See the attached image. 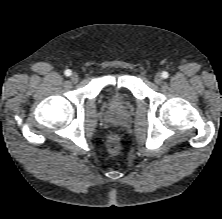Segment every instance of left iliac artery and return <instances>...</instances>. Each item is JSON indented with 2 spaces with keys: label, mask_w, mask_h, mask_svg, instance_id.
I'll return each instance as SVG.
<instances>
[{
  "label": "left iliac artery",
  "mask_w": 222,
  "mask_h": 219,
  "mask_svg": "<svg viewBox=\"0 0 222 219\" xmlns=\"http://www.w3.org/2000/svg\"><path fill=\"white\" fill-rule=\"evenodd\" d=\"M168 76H169L168 72H166V71L162 72V77L164 79L168 78Z\"/></svg>",
  "instance_id": "44dca946"
}]
</instances>
